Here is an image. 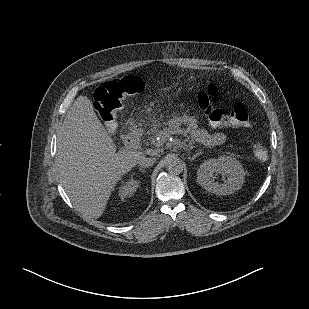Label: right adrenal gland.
<instances>
[{
    "label": "right adrenal gland",
    "mask_w": 309,
    "mask_h": 309,
    "mask_svg": "<svg viewBox=\"0 0 309 309\" xmlns=\"http://www.w3.org/2000/svg\"><path fill=\"white\" fill-rule=\"evenodd\" d=\"M139 171L142 172V173H145V170L142 169V168H139Z\"/></svg>",
    "instance_id": "1"
}]
</instances>
